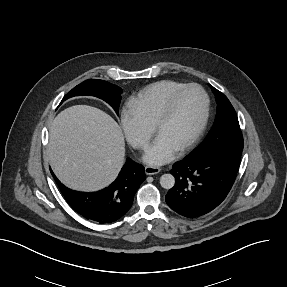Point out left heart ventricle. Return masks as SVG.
I'll use <instances>...</instances> for the list:
<instances>
[{"label": "left heart ventricle", "instance_id": "obj_1", "mask_svg": "<svg viewBox=\"0 0 287 287\" xmlns=\"http://www.w3.org/2000/svg\"><path fill=\"white\" fill-rule=\"evenodd\" d=\"M203 112V97L196 89H189L175 100L167 121L158 129L157 137L163 138L176 150L197 128Z\"/></svg>", "mask_w": 287, "mask_h": 287}]
</instances>
